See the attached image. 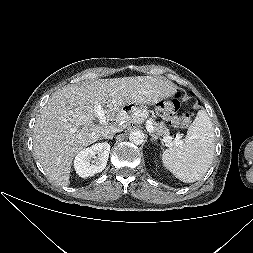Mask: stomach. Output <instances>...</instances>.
<instances>
[{"label": "stomach", "mask_w": 253, "mask_h": 253, "mask_svg": "<svg viewBox=\"0 0 253 253\" xmlns=\"http://www.w3.org/2000/svg\"><path fill=\"white\" fill-rule=\"evenodd\" d=\"M169 105V101L159 100L156 104L155 102H150L148 105L144 101H123L120 105V110L125 114H130L134 111L139 110L143 114H148L150 111H155L158 114L159 118L167 117V107Z\"/></svg>", "instance_id": "stomach-1"}]
</instances>
